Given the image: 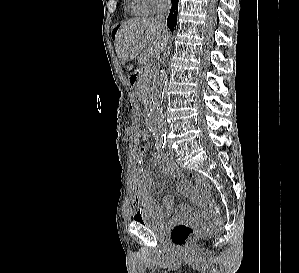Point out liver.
I'll list each match as a JSON object with an SVG mask.
<instances>
[{
	"instance_id": "obj_1",
	"label": "liver",
	"mask_w": 299,
	"mask_h": 273,
	"mask_svg": "<svg viewBox=\"0 0 299 273\" xmlns=\"http://www.w3.org/2000/svg\"><path fill=\"white\" fill-rule=\"evenodd\" d=\"M169 37L167 28L162 29L155 19L137 18L120 26L114 46L123 63L134 60L147 47L146 56L155 59L166 47Z\"/></svg>"
}]
</instances>
